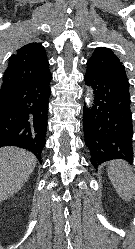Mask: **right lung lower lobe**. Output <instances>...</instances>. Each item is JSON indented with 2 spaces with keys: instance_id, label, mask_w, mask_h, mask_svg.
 <instances>
[{
  "instance_id": "98d812e1",
  "label": "right lung lower lobe",
  "mask_w": 135,
  "mask_h": 249,
  "mask_svg": "<svg viewBox=\"0 0 135 249\" xmlns=\"http://www.w3.org/2000/svg\"><path fill=\"white\" fill-rule=\"evenodd\" d=\"M47 77L2 85L0 88V148L18 146L31 151L41 162L47 131Z\"/></svg>"
}]
</instances>
